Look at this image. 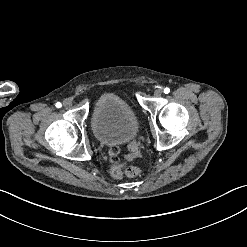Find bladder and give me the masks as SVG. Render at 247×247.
Instances as JSON below:
<instances>
[{
  "instance_id": "1",
  "label": "bladder",
  "mask_w": 247,
  "mask_h": 247,
  "mask_svg": "<svg viewBox=\"0 0 247 247\" xmlns=\"http://www.w3.org/2000/svg\"><path fill=\"white\" fill-rule=\"evenodd\" d=\"M90 123L96 138L110 145L124 144L135 138L138 131V120L131 105L111 93L96 99Z\"/></svg>"
}]
</instances>
